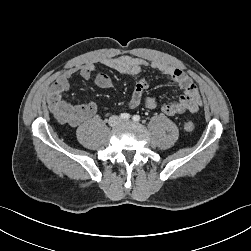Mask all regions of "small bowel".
<instances>
[{
  "instance_id": "obj_1",
  "label": "small bowel",
  "mask_w": 251,
  "mask_h": 251,
  "mask_svg": "<svg viewBox=\"0 0 251 251\" xmlns=\"http://www.w3.org/2000/svg\"><path fill=\"white\" fill-rule=\"evenodd\" d=\"M100 63L121 74L128 75L134 79L133 91L129 106L137 107L141 101L145 90L148 88V81L144 78H137L144 68H151L163 75L170 77L183 90V94L175 100L164 103L161 110L168 116H175L184 113H195L202 105V100L197 86L184 71L162 61H148L143 58L130 55H120L116 57L103 58ZM95 64L87 63L77 69H71L60 75L49 87L47 92V104L54 117L62 123L70 126H77L97 112L98 106L94 101H89L80 105H73L63 99L64 94L70 88V79L78 73L84 80L93 79L96 86L103 89L113 87L112 79L104 73L94 74ZM144 105L148 109H154L157 101L154 97H147Z\"/></svg>"
}]
</instances>
